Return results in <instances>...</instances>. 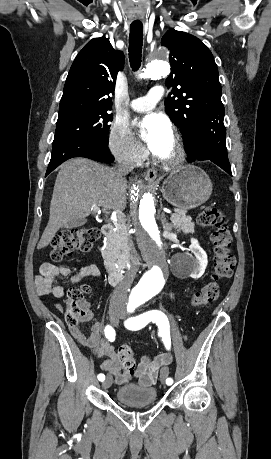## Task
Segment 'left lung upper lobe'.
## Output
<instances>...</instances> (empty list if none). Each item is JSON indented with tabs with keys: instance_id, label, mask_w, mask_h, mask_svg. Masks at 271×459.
I'll list each match as a JSON object with an SVG mask.
<instances>
[{
	"instance_id": "left-lung-upper-lobe-1",
	"label": "left lung upper lobe",
	"mask_w": 271,
	"mask_h": 459,
	"mask_svg": "<svg viewBox=\"0 0 271 459\" xmlns=\"http://www.w3.org/2000/svg\"><path fill=\"white\" fill-rule=\"evenodd\" d=\"M161 44L170 50L171 74L166 84L173 86L165 111L180 128L191 156L198 148L197 132L224 119L218 68L211 51L193 35L172 28Z\"/></svg>"
}]
</instances>
